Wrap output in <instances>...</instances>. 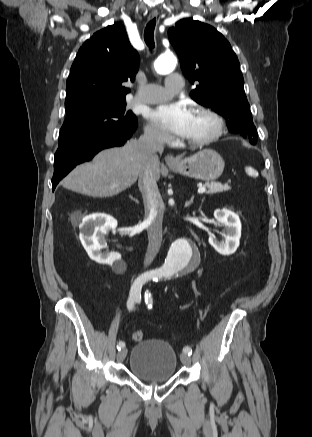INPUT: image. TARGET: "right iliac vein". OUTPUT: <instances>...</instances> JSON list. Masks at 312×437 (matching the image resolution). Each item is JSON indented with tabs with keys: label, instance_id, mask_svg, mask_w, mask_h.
Wrapping results in <instances>:
<instances>
[{
	"label": "right iliac vein",
	"instance_id": "right-iliac-vein-1",
	"mask_svg": "<svg viewBox=\"0 0 312 437\" xmlns=\"http://www.w3.org/2000/svg\"><path fill=\"white\" fill-rule=\"evenodd\" d=\"M126 354H127V349L126 348L120 349L119 352L117 353V360L119 362H122L125 359Z\"/></svg>",
	"mask_w": 312,
	"mask_h": 437
}]
</instances>
